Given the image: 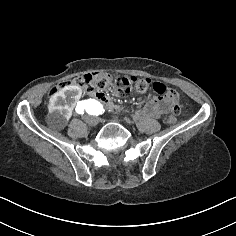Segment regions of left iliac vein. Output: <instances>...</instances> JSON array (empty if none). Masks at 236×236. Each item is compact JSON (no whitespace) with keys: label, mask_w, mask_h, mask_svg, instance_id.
<instances>
[{"label":"left iliac vein","mask_w":236,"mask_h":236,"mask_svg":"<svg viewBox=\"0 0 236 236\" xmlns=\"http://www.w3.org/2000/svg\"><path fill=\"white\" fill-rule=\"evenodd\" d=\"M98 122H99V123H102V124H105V123H106V120L103 119V118H99V119H98Z\"/></svg>","instance_id":"4c4485c4"}]
</instances>
